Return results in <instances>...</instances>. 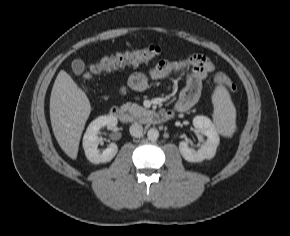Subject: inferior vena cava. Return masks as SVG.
I'll list each match as a JSON object with an SVG mask.
<instances>
[{
  "instance_id": "602c4592",
  "label": "inferior vena cava",
  "mask_w": 290,
  "mask_h": 236,
  "mask_svg": "<svg viewBox=\"0 0 290 236\" xmlns=\"http://www.w3.org/2000/svg\"><path fill=\"white\" fill-rule=\"evenodd\" d=\"M129 131L133 137H140L143 134V127L138 123H134L130 126Z\"/></svg>"
}]
</instances>
